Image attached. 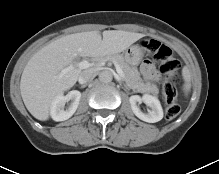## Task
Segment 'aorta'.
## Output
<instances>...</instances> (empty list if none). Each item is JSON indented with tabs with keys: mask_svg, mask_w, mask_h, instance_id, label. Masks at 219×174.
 <instances>
[{
	"mask_svg": "<svg viewBox=\"0 0 219 174\" xmlns=\"http://www.w3.org/2000/svg\"><path fill=\"white\" fill-rule=\"evenodd\" d=\"M113 79V75L110 71L108 70H105V71H102L100 74H99V80L102 82V83H109L111 82Z\"/></svg>",
	"mask_w": 219,
	"mask_h": 174,
	"instance_id": "762f6f07",
	"label": "aorta"
}]
</instances>
